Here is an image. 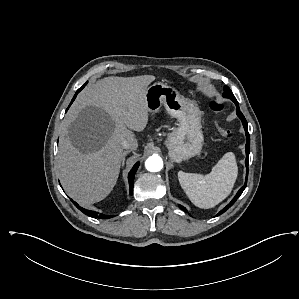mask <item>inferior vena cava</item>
I'll return each mask as SVG.
<instances>
[{
  "label": "inferior vena cava",
  "mask_w": 299,
  "mask_h": 299,
  "mask_svg": "<svg viewBox=\"0 0 299 299\" xmlns=\"http://www.w3.org/2000/svg\"><path fill=\"white\" fill-rule=\"evenodd\" d=\"M122 147L124 149L135 150L138 147V142L134 137H128L123 140Z\"/></svg>",
  "instance_id": "1"
}]
</instances>
